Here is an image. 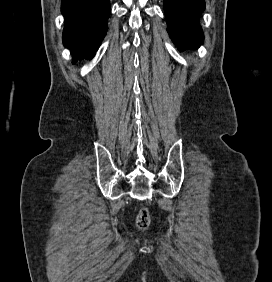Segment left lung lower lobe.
<instances>
[{"label": "left lung lower lobe", "instance_id": "1", "mask_svg": "<svg viewBox=\"0 0 272 282\" xmlns=\"http://www.w3.org/2000/svg\"><path fill=\"white\" fill-rule=\"evenodd\" d=\"M204 9V0H164L168 32L180 51L202 43L199 16Z\"/></svg>", "mask_w": 272, "mask_h": 282}]
</instances>
